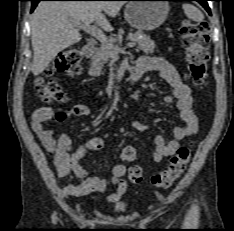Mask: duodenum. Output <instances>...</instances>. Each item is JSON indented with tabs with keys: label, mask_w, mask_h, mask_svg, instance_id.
I'll list each match as a JSON object with an SVG mask.
<instances>
[{
	"label": "duodenum",
	"mask_w": 234,
	"mask_h": 231,
	"mask_svg": "<svg viewBox=\"0 0 234 231\" xmlns=\"http://www.w3.org/2000/svg\"><path fill=\"white\" fill-rule=\"evenodd\" d=\"M96 51V44L94 42H88L83 47V55L90 58ZM148 70L147 67L136 64L135 68L131 72L129 77V83L131 85L136 84L142 77V75Z\"/></svg>",
	"instance_id": "1"
}]
</instances>
